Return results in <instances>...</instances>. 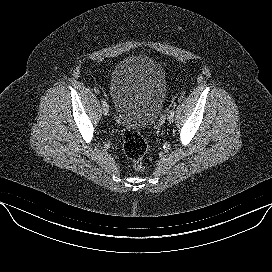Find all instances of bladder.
Wrapping results in <instances>:
<instances>
[{
  "label": "bladder",
  "mask_w": 272,
  "mask_h": 272,
  "mask_svg": "<svg viewBox=\"0 0 272 272\" xmlns=\"http://www.w3.org/2000/svg\"><path fill=\"white\" fill-rule=\"evenodd\" d=\"M167 81L162 65L148 56H131L114 69L110 94L117 118L128 129H142L160 115Z\"/></svg>",
  "instance_id": "bladder-1"
}]
</instances>
